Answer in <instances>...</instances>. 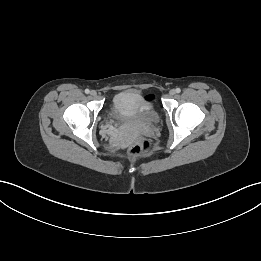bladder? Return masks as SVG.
I'll use <instances>...</instances> for the list:
<instances>
[{"label":"bladder","mask_w":261,"mask_h":261,"mask_svg":"<svg viewBox=\"0 0 261 261\" xmlns=\"http://www.w3.org/2000/svg\"><path fill=\"white\" fill-rule=\"evenodd\" d=\"M108 113L119 124L152 125L159 118L153 97L132 89L115 94Z\"/></svg>","instance_id":"obj_1"}]
</instances>
